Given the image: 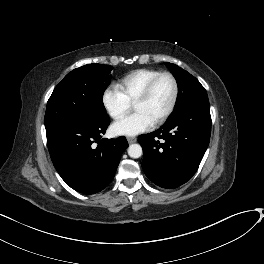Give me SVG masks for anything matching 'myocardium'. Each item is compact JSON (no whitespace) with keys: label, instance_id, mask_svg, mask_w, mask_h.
Returning <instances> with one entry per match:
<instances>
[{"label":"myocardium","instance_id":"myocardium-1","mask_svg":"<svg viewBox=\"0 0 264 264\" xmlns=\"http://www.w3.org/2000/svg\"><path fill=\"white\" fill-rule=\"evenodd\" d=\"M163 76H167L171 79L173 83V96H172V100H171V103L168 109L154 122V125L156 126L164 123L171 116V114L173 113L176 107L178 96H179V84H178L176 77L172 73L167 72V71L160 72L147 83V85L144 87V89L142 90V92L140 93V95L137 97V99L134 102V105H135L137 103L147 100V98L150 96L153 90L154 85Z\"/></svg>","mask_w":264,"mask_h":264}]
</instances>
